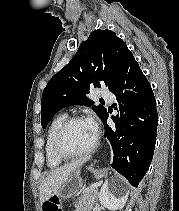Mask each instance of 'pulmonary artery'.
<instances>
[{
  "label": "pulmonary artery",
  "instance_id": "e3ab8cb5",
  "mask_svg": "<svg viewBox=\"0 0 179 211\" xmlns=\"http://www.w3.org/2000/svg\"><path fill=\"white\" fill-rule=\"evenodd\" d=\"M100 96L108 101H112L113 100V94L107 90V89H101L100 90Z\"/></svg>",
  "mask_w": 179,
  "mask_h": 211
}]
</instances>
